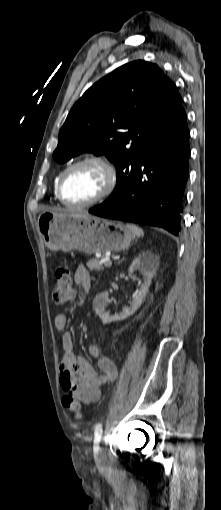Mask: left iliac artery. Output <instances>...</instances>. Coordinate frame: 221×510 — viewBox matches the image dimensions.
Listing matches in <instances>:
<instances>
[{
  "label": "left iliac artery",
  "mask_w": 221,
  "mask_h": 510,
  "mask_svg": "<svg viewBox=\"0 0 221 510\" xmlns=\"http://www.w3.org/2000/svg\"><path fill=\"white\" fill-rule=\"evenodd\" d=\"M102 432H103V428H102V423H98L96 424L95 426V432H94V435H95V438H94V450L98 451V444L101 440V436H102Z\"/></svg>",
  "instance_id": "44dca946"
}]
</instances>
